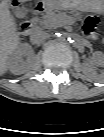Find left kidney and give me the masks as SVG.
<instances>
[{
	"label": "left kidney",
	"mask_w": 104,
	"mask_h": 137,
	"mask_svg": "<svg viewBox=\"0 0 104 137\" xmlns=\"http://www.w3.org/2000/svg\"><path fill=\"white\" fill-rule=\"evenodd\" d=\"M92 61L97 63V64L103 65V63H104V56H103V54L101 52L93 53Z\"/></svg>",
	"instance_id": "obj_1"
}]
</instances>
